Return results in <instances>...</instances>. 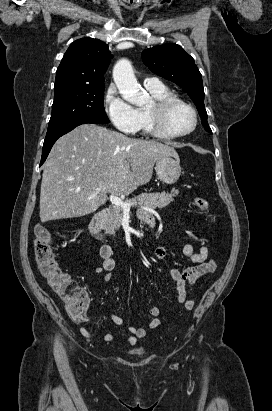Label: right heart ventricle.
Segmentation results:
<instances>
[{"instance_id": "obj_1", "label": "right heart ventricle", "mask_w": 272, "mask_h": 411, "mask_svg": "<svg viewBox=\"0 0 272 411\" xmlns=\"http://www.w3.org/2000/svg\"><path fill=\"white\" fill-rule=\"evenodd\" d=\"M150 94L154 97L155 100H160L168 97H172L173 94L171 91L165 87L164 85L160 87H147ZM141 121H140V128L146 133H151V127L147 115V109H140L139 110Z\"/></svg>"}]
</instances>
